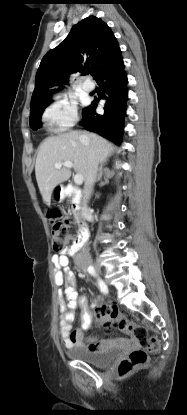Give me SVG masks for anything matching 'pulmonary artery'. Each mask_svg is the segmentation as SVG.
Returning <instances> with one entry per match:
<instances>
[{
	"label": "pulmonary artery",
	"mask_w": 187,
	"mask_h": 415,
	"mask_svg": "<svg viewBox=\"0 0 187 415\" xmlns=\"http://www.w3.org/2000/svg\"><path fill=\"white\" fill-rule=\"evenodd\" d=\"M82 88L87 92H91L94 90V84L89 81H85L82 85Z\"/></svg>",
	"instance_id": "e3ab8cb5"
}]
</instances>
